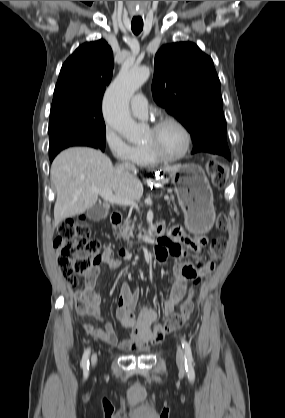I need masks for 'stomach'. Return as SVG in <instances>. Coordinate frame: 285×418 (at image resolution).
Listing matches in <instances>:
<instances>
[{
    "label": "stomach",
    "mask_w": 285,
    "mask_h": 418,
    "mask_svg": "<svg viewBox=\"0 0 285 418\" xmlns=\"http://www.w3.org/2000/svg\"><path fill=\"white\" fill-rule=\"evenodd\" d=\"M190 232L206 233L214 222L213 194L204 170L197 164L178 165L167 171Z\"/></svg>",
    "instance_id": "stomach-1"
}]
</instances>
